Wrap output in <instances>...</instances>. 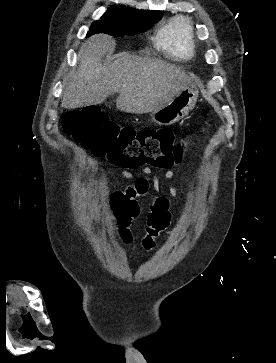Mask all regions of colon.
<instances>
[{"label":"colon","mask_w":276,"mask_h":363,"mask_svg":"<svg viewBox=\"0 0 276 363\" xmlns=\"http://www.w3.org/2000/svg\"><path fill=\"white\" fill-rule=\"evenodd\" d=\"M64 128L95 155L128 168L143 165L170 168L181 161L185 148V140L177 138L169 129L119 128L94 108L70 112L64 119ZM168 224V220L162 222L154 214L149 216V225L154 229H164ZM125 240L129 241L130 237L126 235ZM154 244L150 235L143 237L145 249H151Z\"/></svg>","instance_id":"colon-1"}]
</instances>
